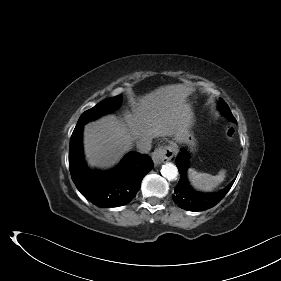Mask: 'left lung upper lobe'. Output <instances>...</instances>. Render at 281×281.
<instances>
[{
    "label": "left lung upper lobe",
    "mask_w": 281,
    "mask_h": 281,
    "mask_svg": "<svg viewBox=\"0 0 281 281\" xmlns=\"http://www.w3.org/2000/svg\"><path fill=\"white\" fill-rule=\"evenodd\" d=\"M219 108L223 114H225L230 120L236 122L235 118L233 117L229 107L227 104L220 98L219 99Z\"/></svg>",
    "instance_id": "1"
}]
</instances>
